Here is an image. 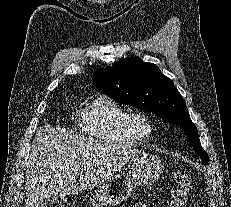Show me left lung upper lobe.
Here are the masks:
<instances>
[{
  "instance_id": "left-lung-upper-lobe-1",
  "label": "left lung upper lobe",
  "mask_w": 231,
  "mask_h": 207,
  "mask_svg": "<svg viewBox=\"0 0 231 207\" xmlns=\"http://www.w3.org/2000/svg\"><path fill=\"white\" fill-rule=\"evenodd\" d=\"M93 82L114 100L151 111L179 125L188 134L195 152L203 158V164L208 163L183 97L155 64L145 63L139 57L122 59L112 67L96 70Z\"/></svg>"
}]
</instances>
